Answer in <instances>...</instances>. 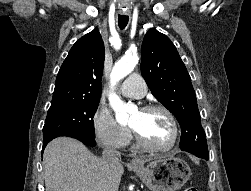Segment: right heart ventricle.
Here are the masks:
<instances>
[{
	"label": "right heart ventricle",
	"instance_id": "right-heart-ventricle-1",
	"mask_svg": "<svg viewBox=\"0 0 251 191\" xmlns=\"http://www.w3.org/2000/svg\"><path fill=\"white\" fill-rule=\"evenodd\" d=\"M135 149H139V146L136 145V146H135Z\"/></svg>",
	"mask_w": 251,
	"mask_h": 191
}]
</instances>
